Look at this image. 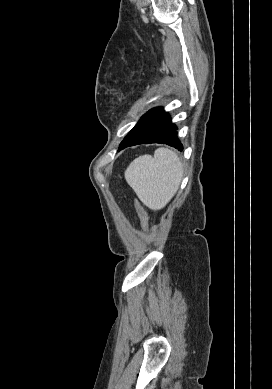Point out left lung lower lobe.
<instances>
[{"mask_svg":"<svg viewBox=\"0 0 272 389\" xmlns=\"http://www.w3.org/2000/svg\"><path fill=\"white\" fill-rule=\"evenodd\" d=\"M177 127L171 122L170 115L163 108L149 110L136 126L127 134L119 146L122 150L128 146L149 143H161L183 150L177 138Z\"/></svg>","mask_w":272,"mask_h":389,"instance_id":"obj_1","label":"left lung lower lobe"}]
</instances>
